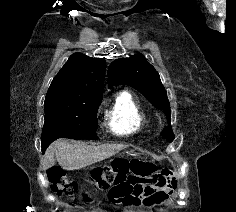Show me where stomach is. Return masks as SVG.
Masks as SVG:
<instances>
[{
  "label": "stomach",
  "mask_w": 236,
  "mask_h": 212,
  "mask_svg": "<svg viewBox=\"0 0 236 212\" xmlns=\"http://www.w3.org/2000/svg\"><path fill=\"white\" fill-rule=\"evenodd\" d=\"M127 153L130 154V155H134V151L133 150H130Z\"/></svg>",
  "instance_id": "stomach-1"
}]
</instances>
